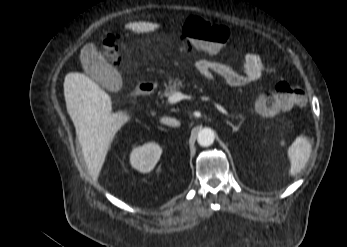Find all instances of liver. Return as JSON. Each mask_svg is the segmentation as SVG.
Returning <instances> with one entry per match:
<instances>
[{
	"label": "liver",
	"mask_w": 347,
	"mask_h": 247,
	"mask_svg": "<svg viewBox=\"0 0 347 247\" xmlns=\"http://www.w3.org/2000/svg\"><path fill=\"white\" fill-rule=\"evenodd\" d=\"M128 28L130 24L125 26ZM88 45L94 46L87 44L81 52ZM64 96L88 170L98 178L113 138L131 116L122 111L113 113L110 96L83 73L65 76Z\"/></svg>",
	"instance_id": "6515ba94"
}]
</instances>
